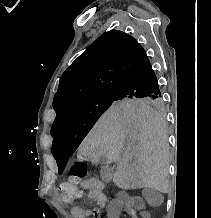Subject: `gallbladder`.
I'll return each instance as SVG.
<instances>
[{"label":"gallbladder","instance_id":"1","mask_svg":"<svg viewBox=\"0 0 211 218\" xmlns=\"http://www.w3.org/2000/svg\"><path fill=\"white\" fill-rule=\"evenodd\" d=\"M99 164H106V158H101Z\"/></svg>","mask_w":211,"mask_h":218}]
</instances>
